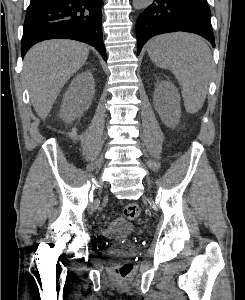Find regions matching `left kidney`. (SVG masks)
I'll return each mask as SVG.
<instances>
[{
	"label": "left kidney",
	"instance_id": "5707ae66",
	"mask_svg": "<svg viewBox=\"0 0 245 300\" xmlns=\"http://www.w3.org/2000/svg\"><path fill=\"white\" fill-rule=\"evenodd\" d=\"M153 100L156 111L167 125L178 121L180 117V97L172 83L166 81L157 83Z\"/></svg>",
	"mask_w": 245,
	"mask_h": 300
}]
</instances>
